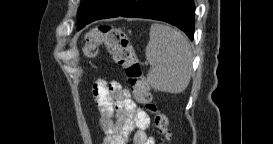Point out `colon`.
Masks as SVG:
<instances>
[{
	"label": "colon",
	"mask_w": 273,
	"mask_h": 144,
	"mask_svg": "<svg viewBox=\"0 0 273 144\" xmlns=\"http://www.w3.org/2000/svg\"><path fill=\"white\" fill-rule=\"evenodd\" d=\"M86 41L84 52L88 57L96 55L100 43L106 44L116 64L124 70L136 101L154 115V126L161 137V143H165L169 137L168 120L152 102L149 85L143 76V67L126 33L116 25L102 23L89 31Z\"/></svg>",
	"instance_id": "5ec220e1"
}]
</instances>
